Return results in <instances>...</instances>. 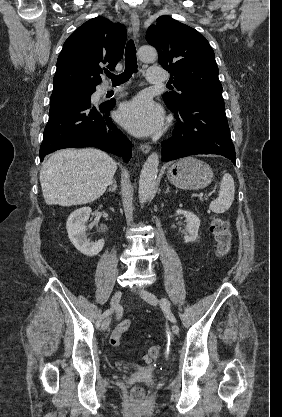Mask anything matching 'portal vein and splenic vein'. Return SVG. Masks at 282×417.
Masks as SVG:
<instances>
[{
    "label": "portal vein and splenic vein",
    "mask_w": 282,
    "mask_h": 417,
    "mask_svg": "<svg viewBox=\"0 0 282 417\" xmlns=\"http://www.w3.org/2000/svg\"><path fill=\"white\" fill-rule=\"evenodd\" d=\"M205 196L206 197H210L211 199H214L215 198V195L212 192H206L205 193Z\"/></svg>",
    "instance_id": "portal-vein-and-splenic-vein-1"
}]
</instances>
